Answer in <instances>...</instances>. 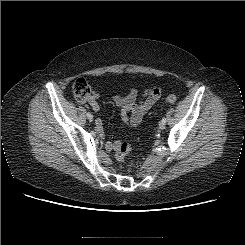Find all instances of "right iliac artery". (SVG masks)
Listing matches in <instances>:
<instances>
[{"mask_svg":"<svg viewBox=\"0 0 245 245\" xmlns=\"http://www.w3.org/2000/svg\"><path fill=\"white\" fill-rule=\"evenodd\" d=\"M90 116H92V115H91V113H90V112H88V113H87V117H90Z\"/></svg>","mask_w":245,"mask_h":245,"instance_id":"obj_1","label":"right iliac artery"}]
</instances>
